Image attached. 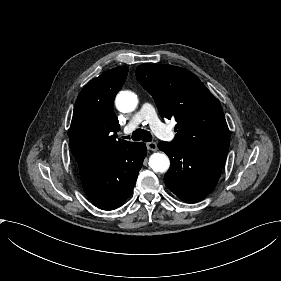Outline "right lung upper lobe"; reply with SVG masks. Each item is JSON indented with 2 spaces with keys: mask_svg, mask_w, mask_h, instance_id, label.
Returning <instances> with one entry per match:
<instances>
[{
  "mask_svg": "<svg viewBox=\"0 0 281 281\" xmlns=\"http://www.w3.org/2000/svg\"><path fill=\"white\" fill-rule=\"evenodd\" d=\"M127 66L113 68L87 83L74 106L68 130L69 145L74 160L90 164L111 159L131 142L117 138L120 130L113 111V99L123 86Z\"/></svg>",
  "mask_w": 281,
  "mask_h": 281,
  "instance_id": "obj_1",
  "label": "right lung upper lobe"
}]
</instances>
